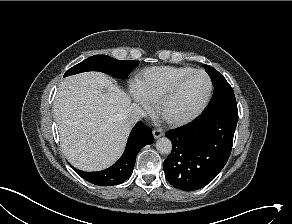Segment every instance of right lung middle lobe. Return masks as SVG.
<instances>
[{"label": "right lung middle lobe", "mask_w": 292, "mask_h": 224, "mask_svg": "<svg viewBox=\"0 0 292 224\" xmlns=\"http://www.w3.org/2000/svg\"><path fill=\"white\" fill-rule=\"evenodd\" d=\"M138 65L139 61L136 60L121 61L107 55H95L67 70L64 77L85 71H100L116 78L126 79Z\"/></svg>", "instance_id": "right-lung-middle-lobe-1"}]
</instances>
